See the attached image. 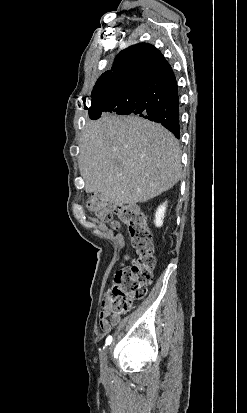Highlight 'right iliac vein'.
<instances>
[{
	"label": "right iliac vein",
	"mask_w": 247,
	"mask_h": 413,
	"mask_svg": "<svg viewBox=\"0 0 247 413\" xmlns=\"http://www.w3.org/2000/svg\"><path fill=\"white\" fill-rule=\"evenodd\" d=\"M106 362H107V351H103L100 354V366L101 369L104 371L105 367H106Z\"/></svg>",
	"instance_id": "right-iliac-vein-1"
}]
</instances>
